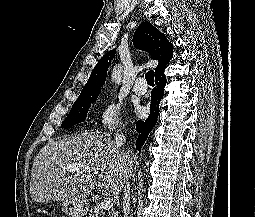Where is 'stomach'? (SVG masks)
<instances>
[{
  "instance_id": "obj_1",
  "label": "stomach",
  "mask_w": 255,
  "mask_h": 217,
  "mask_svg": "<svg viewBox=\"0 0 255 217\" xmlns=\"http://www.w3.org/2000/svg\"><path fill=\"white\" fill-rule=\"evenodd\" d=\"M62 210L69 217H84L88 210V203L84 199L66 202L63 203Z\"/></svg>"
}]
</instances>
